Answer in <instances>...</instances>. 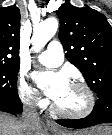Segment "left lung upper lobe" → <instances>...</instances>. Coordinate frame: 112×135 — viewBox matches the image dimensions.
<instances>
[{
    "mask_svg": "<svg viewBox=\"0 0 112 135\" xmlns=\"http://www.w3.org/2000/svg\"><path fill=\"white\" fill-rule=\"evenodd\" d=\"M57 15L59 39L68 61L81 71L98 98L112 95V28L106 17L68 1L60 6Z\"/></svg>",
    "mask_w": 112,
    "mask_h": 135,
    "instance_id": "left-lung-upper-lobe-1",
    "label": "left lung upper lobe"
}]
</instances>
